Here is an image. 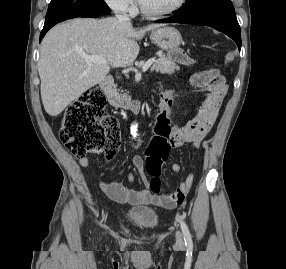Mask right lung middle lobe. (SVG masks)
Wrapping results in <instances>:
<instances>
[{
    "label": "right lung middle lobe",
    "instance_id": "dd1d6c3e",
    "mask_svg": "<svg viewBox=\"0 0 286 269\" xmlns=\"http://www.w3.org/2000/svg\"><path fill=\"white\" fill-rule=\"evenodd\" d=\"M109 13L110 9L104 0H51L44 24L79 14Z\"/></svg>",
    "mask_w": 286,
    "mask_h": 269
}]
</instances>
